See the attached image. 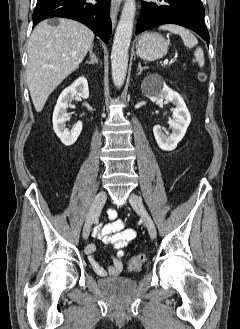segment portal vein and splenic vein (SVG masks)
Wrapping results in <instances>:
<instances>
[{
  "label": "portal vein and splenic vein",
  "mask_w": 240,
  "mask_h": 329,
  "mask_svg": "<svg viewBox=\"0 0 240 329\" xmlns=\"http://www.w3.org/2000/svg\"><path fill=\"white\" fill-rule=\"evenodd\" d=\"M163 64H164L165 66L168 65V64H169L168 59H165L164 62H163Z\"/></svg>",
  "instance_id": "obj_1"
}]
</instances>
